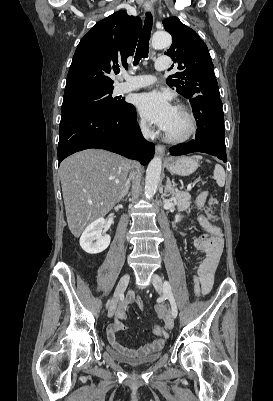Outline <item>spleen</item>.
Listing matches in <instances>:
<instances>
[{"label":"spleen","mask_w":273,"mask_h":401,"mask_svg":"<svg viewBox=\"0 0 273 401\" xmlns=\"http://www.w3.org/2000/svg\"><path fill=\"white\" fill-rule=\"evenodd\" d=\"M193 158H202V156H200V154H194ZM208 162H210V160H208ZM213 174H214V178H215L217 184H219V186H224L225 170H224L223 166H221V164H215Z\"/></svg>","instance_id":"spleen-1"}]
</instances>
